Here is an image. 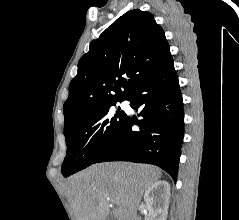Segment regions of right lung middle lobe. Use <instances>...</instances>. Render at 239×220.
Listing matches in <instances>:
<instances>
[{
  "mask_svg": "<svg viewBox=\"0 0 239 220\" xmlns=\"http://www.w3.org/2000/svg\"><path fill=\"white\" fill-rule=\"evenodd\" d=\"M95 109L80 117L64 130L67 153L62 164V174L68 177L93 164L110 144L124 123L126 114L112 106Z\"/></svg>",
  "mask_w": 239,
  "mask_h": 220,
  "instance_id": "right-lung-middle-lobe-1",
  "label": "right lung middle lobe"
}]
</instances>
